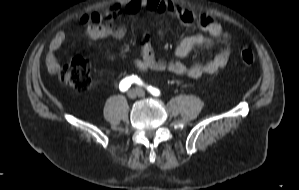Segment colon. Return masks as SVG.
Returning a JSON list of instances; mask_svg holds the SVG:
<instances>
[{
  "mask_svg": "<svg viewBox=\"0 0 299 190\" xmlns=\"http://www.w3.org/2000/svg\"><path fill=\"white\" fill-rule=\"evenodd\" d=\"M240 60L243 65L251 66L254 62V53L244 47L240 52ZM60 79L63 83L72 86L79 92L87 91L92 84L90 65L83 56H76L67 64L60 73Z\"/></svg>",
  "mask_w": 299,
  "mask_h": 190,
  "instance_id": "5ec220e1",
  "label": "colon"
}]
</instances>
